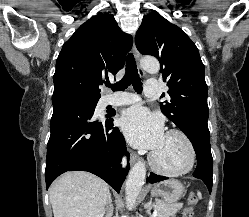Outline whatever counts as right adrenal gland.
I'll list each match as a JSON object with an SVG mask.
<instances>
[{
  "instance_id": "obj_1",
  "label": "right adrenal gland",
  "mask_w": 249,
  "mask_h": 217,
  "mask_svg": "<svg viewBox=\"0 0 249 217\" xmlns=\"http://www.w3.org/2000/svg\"><path fill=\"white\" fill-rule=\"evenodd\" d=\"M109 210L108 212L105 214V217H111V214H112V200H111V197H109Z\"/></svg>"
}]
</instances>
